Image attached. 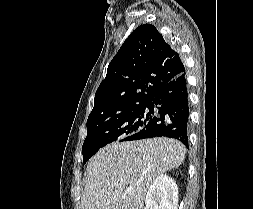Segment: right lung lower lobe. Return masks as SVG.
Segmentation results:
<instances>
[{"instance_id": "1", "label": "right lung lower lobe", "mask_w": 253, "mask_h": 209, "mask_svg": "<svg viewBox=\"0 0 253 209\" xmlns=\"http://www.w3.org/2000/svg\"><path fill=\"white\" fill-rule=\"evenodd\" d=\"M153 116L146 126L128 140L168 137L188 147L189 105L185 72L167 83L151 100Z\"/></svg>"}]
</instances>
